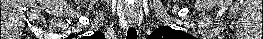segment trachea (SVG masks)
<instances>
[{"instance_id": "1", "label": "trachea", "mask_w": 263, "mask_h": 39, "mask_svg": "<svg viewBox=\"0 0 263 39\" xmlns=\"http://www.w3.org/2000/svg\"><path fill=\"white\" fill-rule=\"evenodd\" d=\"M137 31L135 27H129L127 31V37L126 39H137Z\"/></svg>"}]
</instances>
